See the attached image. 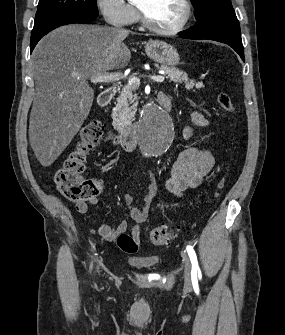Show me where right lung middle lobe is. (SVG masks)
Segmentation results:
<instances>
[{
    "instance_id": "dd1d6c3e",
    "label": "right lung middle lobe",
    "mask_w": 285,
    "mask_h": 335,
    "mask_svg": "<svg viewBox=\"0 0 285 335\" xmlns=\"http://www.w3.org/2000/svg\"><path fill=\"white\" fill-rule=\"evenodd\" d=\"M64 12L98 16L97 5L94 0H39L35 22Z\"/></svg>"
}]
</instances>
